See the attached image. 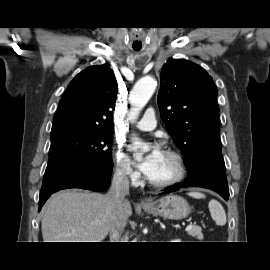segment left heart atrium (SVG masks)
<instances>
[{"instance_id":"left-heart-atrium-1","label":"left heart atrium","mask_w":270,"mask_h":270,"mask_svg":"<svg viewBox=\"0 0 270 270\" xmlns=\"http://www.w3.org/2000/svg\"><path fill=\"white\" fill-rule=\"evenodd\" d=\"M139 148L140 146L135 144L131 147V150L137 151ZM163 154L164 152L159 145H153L148 155L138 163V167L147 177H150L155 171Z\"/></svg>"}]
</instances>
